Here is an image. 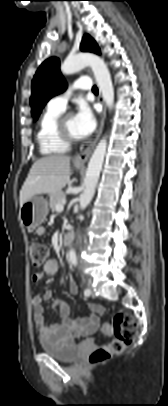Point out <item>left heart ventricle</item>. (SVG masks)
Wrapping results in <instances>:
<instances>
[{
	"label": "left heart ventricle",
	"mask_w": 168,
	"mask_h": 406,
	"mask_svg": "<svg viewBox=\"0 0 168 406\" xmlns=\"http://www.w3.org/2000/svg\"><path fill=\"white\" fill-rule=\"evenodd\" d=\"M66 128L69 131V133L75 137H79V134L77 132L76 126H75V122H74V116H70L67 120H66Z\"/></svg>",
	"instance_id": "obj_1"
}]
</instances>
